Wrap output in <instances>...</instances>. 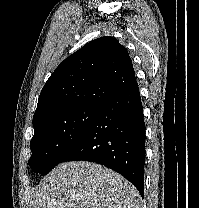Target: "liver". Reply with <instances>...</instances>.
I'll list each match as a JSON object with an SVG mask.
<instances>
[{"label":"liver","mask_w":199,"mask_h":208,"mask_svg":"<svg viewBox=\"0 0 199 208\" xmlns=\"http://www.w3.org/2000/svg\"><path fill=\"white\" fill-rule=\"evenodd\" d=\"M33 208H140L137 189L97 163H60L36 187Z\"/></svg>","instance_id":"liver-1"}]
</instances>
